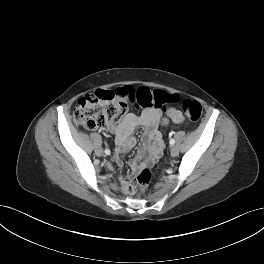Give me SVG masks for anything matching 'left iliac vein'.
Segmentation results:
<instances>
[{
  "label": "left iliac vein",
  "mask_w": 264,
  "mask_h": 264,
  "mask_svg": "<svg viewBox=\"0 0 264 264\" xmlns=\"http://www.w3.org/2000/svg\"><path fill=\"white\" fill-rule=\"evenodd\" d=\"M178 153H179V148H178L177 146H173V147L171 148V155H172V156H177Z\"/></svg>",
  "instance_id": "1"
}]
</instances>
